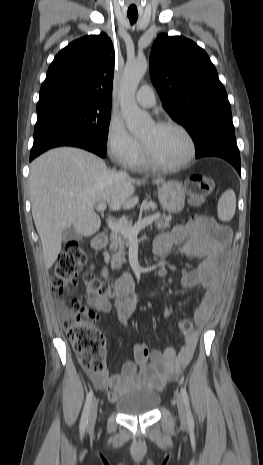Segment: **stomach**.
<instances>
[{
    "mask_svg": "<svg viewBox=\"0 0 263 465\" xmlns=\"http://www.w3.org/2000/svg\"><path fill=\"white\" fill-rule=\"evenodd\" d=\"M158 198L163 209L170 213L181 212L185 205L183 186L178 181H167L158 186Z\"/></svg>",
    "mask_w": 263,
    "mask_h": 465,
    "instance_id": "stomach-1",
    "label": "stomach"
}]
</instances>
